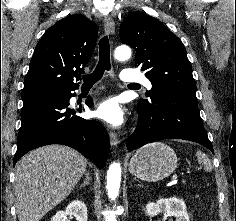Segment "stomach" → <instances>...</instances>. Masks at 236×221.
Masks as SVG:
<instances>
[{"instance_id": "stomach-1", "label": "stomach", "mask_w": 236, "mask_h": 221, "mask_svg": "<svg viewBox=\"0 0 236 221\" xmlns=\"http://www.w3.org/2000/svg\"><path fill=\"white\" fill-rule=\"evenodd\" d=\"M177 166L178 159L174 150L162 142H154L133 154L129 171L141 180L157 182L172 174Z\"/></svg>"}]
</instances>
